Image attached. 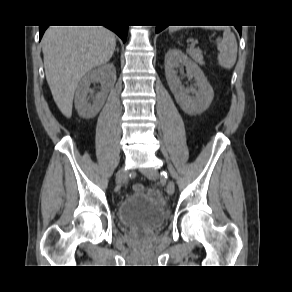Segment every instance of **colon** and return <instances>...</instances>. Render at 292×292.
Masks as SVG:
<instances>
[{
    "mask_svg": "<svg viewBox=\"0 0 292 292\" xmlns=\"http://www.w3.org/2000/svg\"><path fill=\"white\" fill-rule=\"evenodd\" d=\"M132 188H133V191H135V192H139V191L143 190V186L141 184H138V183L134 184Z\"/></svg>",
    "mask_w": 292,
    "mask_h": 292,
    "instance_id": "obj_1",
    "label": "colon"
}]
</instances>
